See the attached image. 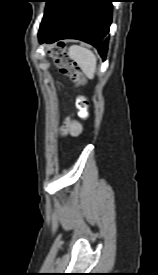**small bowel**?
I'll use <instances>...</instances> for the list:
<instances>
[{
    "mask_svg": "<svg viewBox=\"0 0 158 275\" xmlns=\"http://www.w3.org/2000/svg\"><path fill=\"white\" fill-rule=\"evenodd\" d=\"M81 131V125L78 121L73 119L72 117H68L64 123V132L70 134H78Z\"/></svg>",
    "mask_w": 158,
    "mask_h": 275,
    "instance_id": "small-bowel-1",
    "label": "small bowel"
}]
</instances>
